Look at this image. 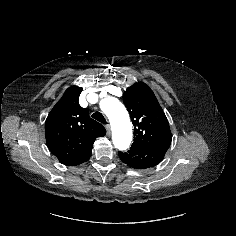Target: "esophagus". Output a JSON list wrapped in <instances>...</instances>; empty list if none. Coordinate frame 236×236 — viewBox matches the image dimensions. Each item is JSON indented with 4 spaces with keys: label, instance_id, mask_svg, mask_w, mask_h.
Instances as JSON below:
<instances>
[{
    "label": "esophagus",
    "instance_id": "esophagus-1",
    "mask_svg": "<svg viewBox=\"0 0 236 236\" xmlns=\"http://www.w3.org/2000/svg\"><path fill=\"white\" fill-rule=\"evenodd\" d=\"M105 128H106V130H107V134L110 135V133H111V127H110V125L107 124V125L105 126Z\"/></svg>",
    "mask_w": 236,
    "mask_h": 236
}]
</instances>
